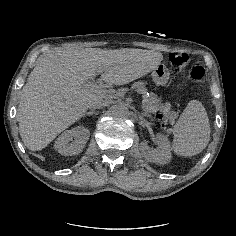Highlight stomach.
Returning <instances> with one entry per match:
<instances>
[{
    "instance_id": "obj_1",
    "label": "stomach",
    "mask_w": 236,
    "mask_h": 236,
    "mask_svg": "<svg viewBox=\"0 0 236 236\" xmlns=\"http://www.w3.org/2000/svg\"><path fill=\"white\" fill-rule=\"evenodd\" d=\"M170 77V73L165 65H158L152 73V79L156 85H165Z\"/></svg>"
}]
</instances>
